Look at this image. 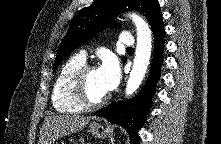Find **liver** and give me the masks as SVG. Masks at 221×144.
<instances>
[{"label":"liver","instance_id":"1","mask_svg":"<svg viewBox=\"0 0 221 144\" xmlns=\"http://www.w3.org/2000/svg\"><path fill=\"white\" fill-rule=\"evenodd\" d=\"M90 120V116L84 117L76 114L48 116L42 125L39 144H52L60 137L84 128Z\"/></svg>","mask_w":221,"mask_h":144}]
</instances>
